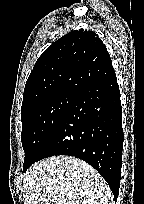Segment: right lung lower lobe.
<instances>
[{
  "instance_id": "right-lung-lower-lobe-1",
  "label": "right lung lower lobe",
  "mask_w": 144,
  "mask_h": 204,
  "mask_svg": "<svg viewBox=\"0 0 144 204\" xmlns=\"http://www.w3.org/2000/svg\"><path fill=\"white\" fill-rule=\"evenodd\" d=\"M121 120L120 91L114 72L75 95L36 162L54 155L80 158L102 175L116 200L124 139Z\"/></svg>"
}]
</instances>
